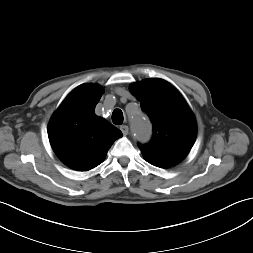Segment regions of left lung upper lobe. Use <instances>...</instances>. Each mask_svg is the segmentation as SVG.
Segmentation results:
<instances>
[{"mask_svg": "<svg viewBox=\"0 0 253 253\" xmlns=\"http://www.w3.org/2000/svg\"><path fill=\"white\" fill-rule=\"evenodd\" d=\"M130 91L153 124L151 142L138 145L143 158L161 168L178 164L189 153L197 133L186 101L170 83L159 78L132 83Z\"/></svg>", "mask_w": 253, "mask_h": 253, "instance_id": "1", "label": "left lung upper lobe"}]
</instances>
